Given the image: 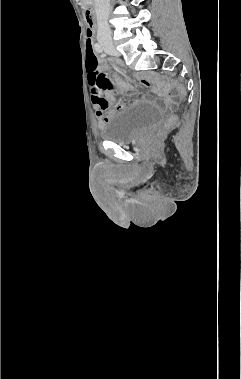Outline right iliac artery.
Returning a JSON list of instances; mask_svg holds the SVG:
<instances>
[{
    "label": "right iliac artery",
    "mask_w": 241,
    "mask_h": 379,
    "mask_svg": "<svg viewBox=\"0 0 241 379\" xmlns=\"http://www.w3.org/2000/svg\"><path fill=\"white\" fill-rule=\"evenodd\" d=\"M95 50H96L97 52L101 53L103 49H102V47H101L100 44L96 43V44H95Z\"/></svg>",
    "instance_id": "1"
}]
</instances>
